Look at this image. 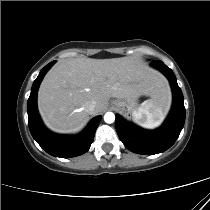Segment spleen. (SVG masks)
<instances>
[{
    "mask_svg": "<svg viewBox=\"0 0 210 210\" xmlns=\"http://www.w3.org/2000/svg\"><path fill=\"white\" fill-rule=\"evenodd\" d=\"M168 104L161 99L146 100L132 113V119L146 129H154L161 124Z\"/></svg>",
    "mask_w": 210,
    "mask_h": 210,
    "instance_id": "3e777b00",
    "label": "spleen"
}]
</instances>
